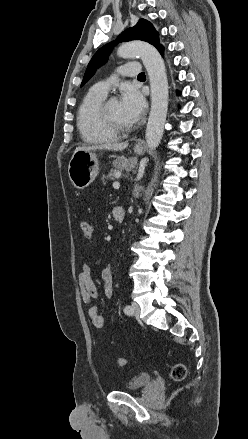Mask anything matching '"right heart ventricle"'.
<instances>
[{"label": "right heart ventricle", "instance_id": "right-heart-ventricle-1", "mask_svg": "<svg viewBox=\"0 0 248 439\" xmlns=\"http://www.w3.org/2000/svg\"><path fill=\"white\" fill-rule=\"evenodd\" d=\"M106 95L89 89L77 111V128L83 141L87 144L112 143L118 135L108 131L100 122L98 111Z\"/></svg>", "mask_w": 248, "mask_h": 439}]
</instances>
